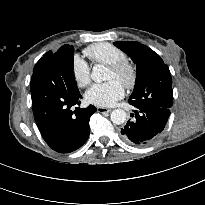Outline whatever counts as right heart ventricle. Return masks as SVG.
<instances>
[{
    "label": "right heart ventricle",
    "mask_w": 205,
    "mask_h": 205,
    "mask_svg": "<svg viewBox=\"0 0 205 205\" xmlns=\"http://www.w3.org/2000/svg\"><path fill=\"white\" fill-rule=\"evenodd\" d=\"M84 54L94 63L111 65L127 59L126 53L108 42H99L85 48Z\"/></svg>",
    "instance_id": "1"
}]
</instances>
